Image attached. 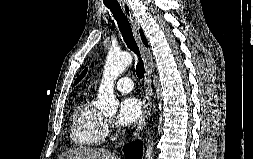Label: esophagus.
Masks as SVG:
<instances>
[{
  "label": "esophagus",
  "mask_w": 253,
  "mask_h": 159,
  "mask_svg": "<svg viewBox=\"0 0 253 159\" xmlns=\"http://www.w3.org/2000/svg\"><path fill=\"white\" fill-rule=\"evenodd\" d=\"M118 2L120 3L124 14L126 15L127 19L129 20L132 26L136 42L140 48L145 63V76H144L145 95L143 99V113L141 115L138 126L132 135L131 140H135L136 138L141 137L143 135L147 119L149 118L151 112L152 96H153L151 73L153 61L150 51L144 46V44L141 41L139 34V23L136 17L134 16L128 2L126 0H118Z\"/></svg>",
  "instance_id": "1"
}]
</instances>
